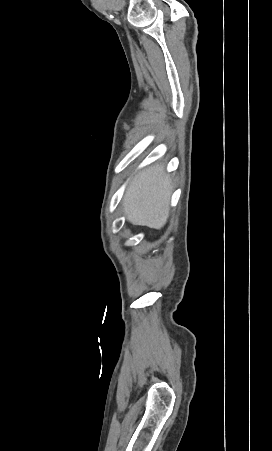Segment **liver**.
Instances as JSON below:
<instances>
[{
	"instance_id": "obj_1",
	"label": "liver",
	"mask_w": 272,
	"mask_h": 451,
	"mask_svg": "<svg viewBox=\"0 0 272 451\" xmlns=\"http://www.w3.org/2000/svg\"><path fill=\"white\" fill-rule=\"evenodd\" d=\"M172 182L163 166H151L135 176L124 198L123 212L134 226L160 229L169 216Z\"/></svg>"
}]
</instances>
